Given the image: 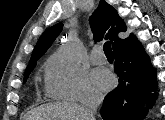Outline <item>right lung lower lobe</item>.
<instances>
[{"mask_svg": "<svg viewBox=\"0 0 165 120\" xmlns=\"http://www.w3.org/2000/svg\"><path fill=\"white\" fill-rule=\"evenodd\" d=\"M114 71L119 85L108 93L103 101L101 116L104 120H141L147 113L144 103L157 95L156 69L141 43L133 37L114 49Z\"/></svg>", "mask_w": 165, "mask_h": 120, "instance_id": "obj_1", "label": "right lung lower lobe"}]
</instances>
